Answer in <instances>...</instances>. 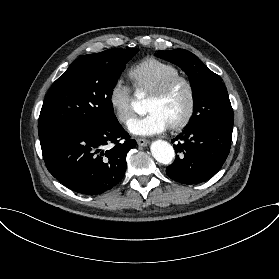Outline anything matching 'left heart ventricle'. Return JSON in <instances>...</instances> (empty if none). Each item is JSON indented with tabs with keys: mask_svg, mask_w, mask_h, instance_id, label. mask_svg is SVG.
<instances>
[{
	"mask_svg": "<svg viewBox=\"0 0 279 279\" xmlns=\"http://www.w3.org/2000/svg\"><path fill=\"white\" fill-rule=\"evenodd\" d=\"M188 99L187 87L180 83L161 99L149 97L147 111H158L172 125L184 117Z\"/></svg>",
	"mask_w": 279,
	"mask_h": 279,
	"instance_id": "obj_1",
	"label": "left heart ventricle"
}]
</instances>
